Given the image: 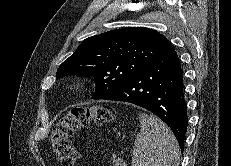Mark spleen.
<instances>
[{"label":"spleen","instance_id":"obj_1","mask_svg":"<svg viewBox=\"0 0 231 166\" xmlns=\"http://www.w3.org/2000/svg\"><path fill=\"white\" fill-rule=\"evenodd\" d=\"M132 166H179V144L170 128L154 115L140 113Z\"/></svg>","mask_w":231,"mask_h":166}]
</instances>
